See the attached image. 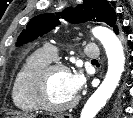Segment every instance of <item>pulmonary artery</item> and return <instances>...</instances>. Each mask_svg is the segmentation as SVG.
I'll use <instances>...</instances> for the list:
<instances>
[{"label":"pulmonary artery","instance_id":"pulmonary-artery-1","mask_svg":"<svg viewBox=\"0 0 133 118\" xmlns=\"http://www.w3.org/2000/svg\"><path fill=\"white\" fill-rule=\"evenodd\" d=\"M51 58H55L57 55V50L52 45H47L43 49ZM85 55L90 59H97L100 55V51L98 47L94 44H88L84 48Z\"/></svg>","mask_w":133,"mask_h":118}]
</instances>
